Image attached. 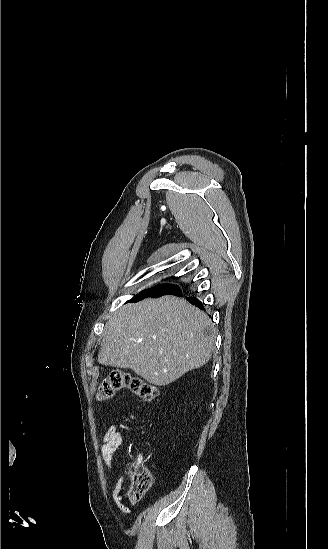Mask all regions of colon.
Instances as JSON below:
<instances>
[{"label": "colon", "instance_id": "colon-1", "mask_svg": "<svg viewBox=\"0 0 328 549\" xmlns=\"http://www.w3.org/2000/svg\"><path fill=\"white\" fill-rule=\"evenodd\" d=\"M123 389L131 391L146 402L153 401L158 396V390L154 385L123 371L113 370L102 381L97 397L99 400H106L112 398L118 391ZM129 477L131 481L130 487L124 494H120V497H125L130 502L142 500L152 486L153 478L150 471L146 467L136 463L129 470Z\"/></svg>", "mask_w": 328, "mask_h": 549}]
</instances>
